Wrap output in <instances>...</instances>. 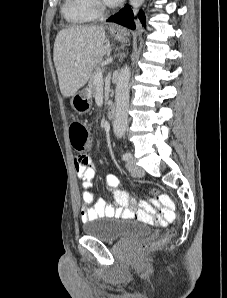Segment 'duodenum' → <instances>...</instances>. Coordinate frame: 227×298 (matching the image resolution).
<instances>
[{"instance_id":"1","label":"duodenum","mask_w":227,"mask_h":298,"mask_svg":"<svg viewBox=\"0 0 227 298\" xmlns=\"http://www.w3.org/2000/svg\"><path fill=\"white\" fill-rule=\"evenodd\" d=\"M115 115H116V104L112 102L108 106L107 117L110 120H112V119H114Z\"/></svg>"}]
</instances>
